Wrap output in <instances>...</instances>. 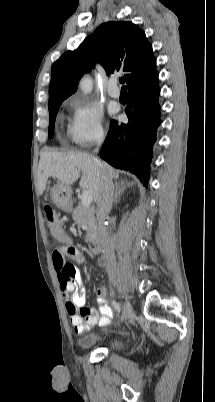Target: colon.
<instances>
[{
	"label": "colon",
	"mask_w": 215,
	"mask_h": 402,
	"mask_svg": "<svg viewBox=\"0 0 215 402\" xmlns=\"http://www.w3.org/2000/svg\"><path fill=\"white\" fill-rule=\"evenodd\" d=\"M44 212L49 230L53 237L57 238L60 244H67L69 238L67 235H63L62 228L56 218L54 209L51 206H46Z\"/></svg>",
	"instance_id": "colon-1"
}]
</instances>
